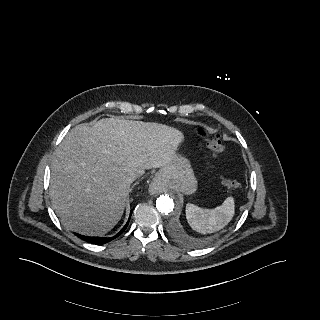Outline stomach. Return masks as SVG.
<instances>
[{"label":"stomach","mask_w":320,"mask_h":320,"mask_svg":"<svg viewBox=\"0 0 320 320\" xmlns=\"http://www.w3.org/2000/svg\"><path fill=\"white\" fill-rule=\"evenodd\" d=\"M158 176L171 188L190 195L197 190V180L190 162L181 155H175L171 162L160 169Z\"/></svg>","instance_id":"1"}]
</instances>
